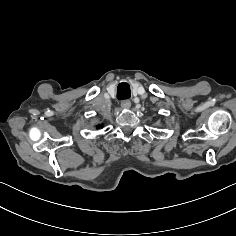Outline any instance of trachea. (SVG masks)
Listing matches in <instances>:
<instances>
[{"label":"trachea","mask_w":236,"mask_h":236,"mask_svg":"<svg viewBox=\"0 0 236 236\" xmlns=\"http://www.w3.org/2000/svg\"><path fill=\"white\" fill-rule=\"evenodd\" d=\"M130 97V87L127 83L122 82L117 87V98L119 100L128 99Z\"/></svg>","instance_id":"1"}]
</instances>
